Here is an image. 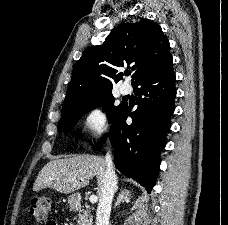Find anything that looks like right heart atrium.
I'll use <instances>...</instances> for the list:
<instances>
[{"instance_id": "obj_1", "label": "right heart atrium", "mask_w": 228, "mask_h": 225, "mask_svg": "<svg viewBox=\"0 0 228 225\" xmlns=\"http://www.w3.org/2000/svg\"><path fill=\"white\" fill-rule=\"evenodd\" d=\"M83 130L91 137L100 138L107 133L108 121L103 108L95 106L87 110L82 118Z\"/></svg>"}]
</instances>
